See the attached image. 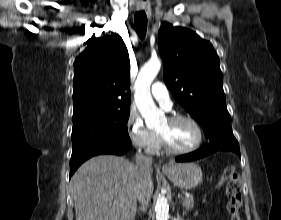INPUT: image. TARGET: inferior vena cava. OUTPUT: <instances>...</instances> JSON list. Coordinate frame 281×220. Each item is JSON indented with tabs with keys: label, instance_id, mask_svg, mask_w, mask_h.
Returning <instances> with one entry per match:
<instances>
[{
	"label": "inferior vena cava",
	"instance_id": "obj_1",
	"mask_svg": "<svg viewBox=\"0 0 281 220\" xmlns=\"http://www.w3.org/2000/svg\"><path fill=\"white\" fill-rule=\"evenodd\" d=\"M136 164L137 166L143 170L148 171L152 164V158L142 155L141 153L136 154ZM153 193V185L151 180L141 179L137 186V199L142 207H147L149 201L151 200V196Z\"/></svg>",
	"mask_w": 281,
	"mask_h": 220
}]
</instances>
